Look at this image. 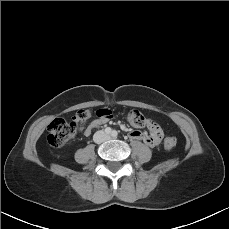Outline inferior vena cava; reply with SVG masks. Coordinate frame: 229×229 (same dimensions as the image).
I'll return each instance as SVG.
<instances>
[{
    "mask_svg": "<svg viewBox=\"0 0 229 229\" xmlns=\"http://www.w3.org/2000/svg\"><path fill=\"white\" fill-rule=\"evenodd\" d=\"M108 139H109V136L102 130L97 131L93 136V140L97 144H100Z\"/></svg>",
    "mask_w": 229,
    "mask_h": 229,
    "instance_id": "602c4592",
    "label": "inferior vena cava"
}]
</instances>
